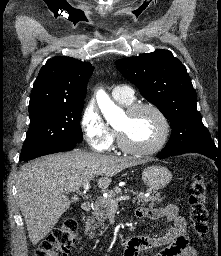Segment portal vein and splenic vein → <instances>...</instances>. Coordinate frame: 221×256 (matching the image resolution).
<instances>
[{"instance_id":"1","label":"portal vein and splenic vein","mask_w":221,"mask_h":256,"mask_svg":"<svg viewBox=\"0 0 221 256\" xmlns=\"http://www.w3.org/2000/svg\"><path fill=\"white\" fill-rule=\"evenodd\" d=\"M83 187H84V191H88L90 189V183L89 182L84 183ZM125 200H130V196L123 195L116 199H112L110 207H117L119 201H125Z\"/></svg>"}]
</instances>
